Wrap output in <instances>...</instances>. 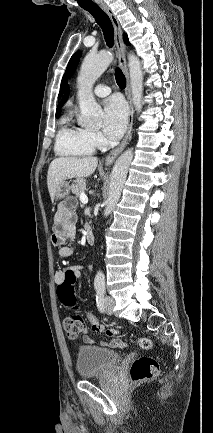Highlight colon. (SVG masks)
<instances>
[{
    "mask_svg": "<svg viewBox=\"0 0 213 433\" xmlns=\"http://www.w3.org/2000/svg\"><path fill=\"white\" fill-rule=\"evenodd\" d=\"M76 275L72 270L65 273L64 284L58 289V296L62 304L69 309V315L63 320V327L70 338H77L84 329V322L76 305V297L73 285L76 282ZM87 318V317H86ZM88 321L93 331L105 333L110 337L118 335L114 328L107 327L94 315L89 313ZM135 342L144 350L152 348V341L148 338H137ZM159 372L158 362L150 356H142L134 360L130 367V376L134 382H142L155 377Z\"/></svg>",
    "mask_w": 213,
    "mask_h": 433,
    "instance_id": "obj_1",
    "label": "colon"
}]
</instances>
